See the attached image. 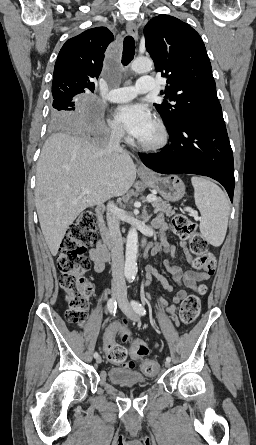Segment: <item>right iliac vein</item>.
Listing matches in <instances>:
<instances>
[{"mask_svg":"<svg viewBox=\"0 0 256 445\" xmlns=\"http://www.w3.org/2000/svg\"><path fill=\"white\" fill-rule=\"evenodd\" d=\"M120 297H121V293H120V292H118V291L113 292V299L119 301ZM96 362H97L98 364H100V363L102 362V358H101L100 356H98V357L96 358Z\"/></svg>","mask_w":256,"mask_h":445,"instance_id":"right-iliac-vein-1","label":"right iliac vein"}]
</instances>
